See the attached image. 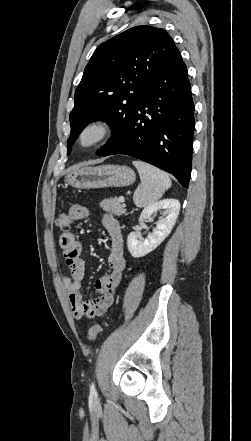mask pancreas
<instances>
[{
    "label": "pancreas",
    "instance_id": "cf45deb5",
    "mask_svg": "<svg viewBox=\"0 0 251 441\" xmlns=\"http://www.w3.org/2000/svg\"><path fill=\"white\" fill-rule=\"evenodd\" d=\"M100 207L109 213L120 216L126 213V209L117 198L105 199L100 202Z\"/></svg>",
    "mask_w": 251,
    "mask_h": 441
}]
</instances>
